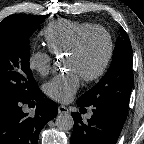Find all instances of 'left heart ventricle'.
Returning <instances> with one entry per match:
<instances>
[{"label": "left heart ventricle", "mask_w": 144, "mask_h": 144, "mask_svg": "<svg viewBox=\"0 0 144 144\" xmlns=\"http://www.w3.org/2000/svg\"><path fill=\"white\" fill-rule=\"evenodd\" d=\"M106 50L104 36L93 32L87 36L77 53L67 55L65 65L69 69H75L82 77L90 75L102 64Z\"/></svg>", "instance_id": "1"}]
</instances>
